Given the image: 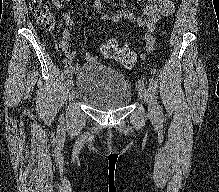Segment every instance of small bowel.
<instances>
[{
    "label": "small bowel",
    "instance_id": "obj_1",
    "mask_svg": "<svg viewBox=\"0 0 219 192\" xmlns=\"http://www.w3.org/2000/svg\"><path fill=\"white\" fill-rule=\"evenodd\" d=\"M71 0H52V3L56 9L61 11L65 25L68 28L73 27L74 17L78 15L71 10L66 9V4ZM95 8L101 13V2L97 1ZM175 5L172 0H147V5L142 11V15L137 17L133 13L119 10L116 14H102V19L106 21L118 22L121 18L126 19L129 22H137L142 28L145 29L144 39L146 41L147 51L150 52L154 46V30L155 24L162 16L169 15L174 12ZM71 34L68 29L62 31V41L60 42V48L65 53L67 65L69 70H77V66L71 65V62L76 57V52L70 48L69 41ZM145 58L146 54H142ZM87 61H93L94 57L91 53L86 54Z\"/></svg>",
    "mask_w": 219,
    "mask_h": 192
}]
</instances>
